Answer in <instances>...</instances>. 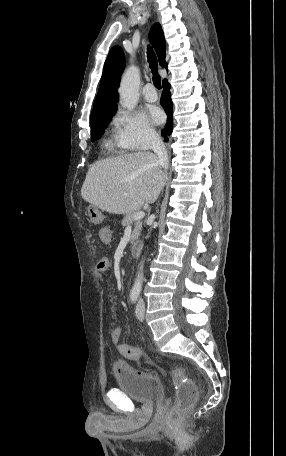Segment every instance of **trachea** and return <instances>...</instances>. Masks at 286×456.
<instances>
[{"label":"trachea","mask_w":286,"mask_h":456,"mask_svg":"<svg viewBox=\"0 0 286 456\" xmlns=\"http://www.w3.org/2000/svg\"><path fill=\"white\" fill-rule=\"evenodd\" d=\"M147 58H148V62H149L151 71L153 73L154 86L157 89H161L162 88L161 87V79H160L159 74L157 73V70H158V68H157V59H156V55H155L154 51L151 49V47H148Z\"/></svg>","instance_id":"1"}]
</instances>
